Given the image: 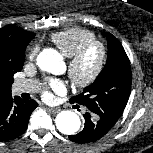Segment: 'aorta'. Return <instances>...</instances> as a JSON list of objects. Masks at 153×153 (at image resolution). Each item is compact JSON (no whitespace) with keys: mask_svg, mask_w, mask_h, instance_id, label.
Returning <instances> with one entry per match:
<instances>
[{"mask_svg":"<svg viewBox=\"0 0 153 153\" xmlns=\"http://www.w3.org/2000/svg\"><path fill=\"white\" fill-rule=\"evenodd\" d=\"M37 64L44 71L59 74L62 59L56 51L46 49L38 55ZM55 123L57 129L66 135L75 134L81 126L79 116L70 110L60 112L56 117Z\"/></svg>","mask_w":153,"mask_h":153,"instance_id":"1","label":"aorta"}]
</instances>
